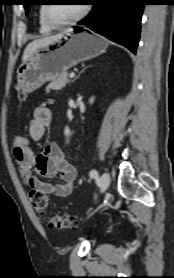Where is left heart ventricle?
Segmentation results:
<instances>
[{
	"label": "left heart ventricle",
	"instance_id": "b2bd125f",
	"mask_svg": "<svg viewBox=\"0 0 174 278\" xmlns=\"http://www.w3.org/2000/svg\"><path fill=\"white\" fill-rule=\"evenodd\" d=\"M83 5H51L49 15L56 22H64L75 17L82 9Z\"/></svg>",
	"mask_w": 174,
	"mask_h": 278
}]
</instances>
